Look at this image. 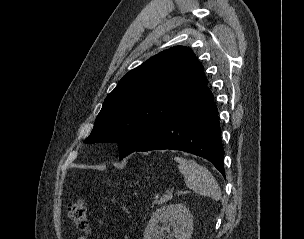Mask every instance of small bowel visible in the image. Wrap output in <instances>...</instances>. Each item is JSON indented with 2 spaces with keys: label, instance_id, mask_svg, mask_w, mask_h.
Here are the masks:
<instances>
[{
  "label": "small bowel",
  "instance_id": "obj_1",
  "mask_svg": "<svg viewBox=\"0 0 304 239\" xmlns=\"http://www.w3.org/2000/svg\"><path fill=\"white\" fill-rule=\"evenodd\" d=\"M77 239H86L85 237L81 236V237H78Z\"/></svg>",
  "mask_w": 304,
  "mask_h": 239
}]
</instances>
